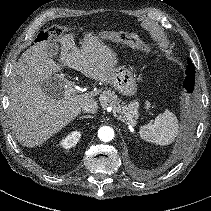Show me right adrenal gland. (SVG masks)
<instances>
[{
  "label": "right adrenal gland",
  "instance_id": "right-adrenal-gland-1",
  "mask_svg": "<svg viewBox=\"0 0 211 211\" xmlns=\"http://www.w3.org/2000/svg\"><path fill=\"white\" fill-rule=\"evenodd\" d=\"M84 118H93V117L91 115H85V116L80 117V119H84Z\"/></svg>",
  "mask_w": 211,
  "mask_h": 211
}]
</instances>
